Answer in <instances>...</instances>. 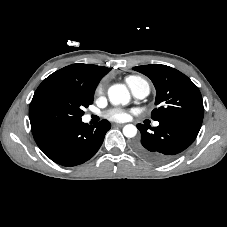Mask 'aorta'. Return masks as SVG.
I'll use <instances>...</instances> for the list:
<instances>
[{
	"mask_svg": "<svg viewBox=\"0 0 227 227\" xmlns=\"http://www.w3.org/2000/svg\"><path fill=\"white\" fill-rule=\"evenodd\" d=\"M109 101L114 105L128 104L130 94L128 89L123 84L112 85L108 89ZM123 134L127 138H132L137 134V128L133 124H127L123 127Z\"/></svg>",
	"mask_w": 227,
	"mask_h": 227,
	"instance_id": "762f6f07",
	"label": "aorta"
}]
</instances>
